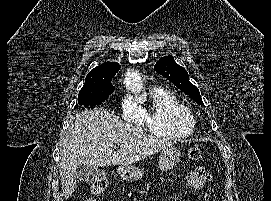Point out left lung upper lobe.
I'll list each match as a JSON object with an SVG mask.
<instances>
[{
	"label": "left lung upper lobe",
	"instance_id": "5c2ea615",
	"mask_svg": "<svg viewBox=\"0 0 271 201\" xmlns=\"http://www.w3.org/2000/svg\"><path fill=\"white\" fill-rule=\"evenodd\" d=\"M154 69L191 97L196 103L203 105L198 88L189 81L187 71L174 61L172 55L161 58L156 63Z\"/></svg>",
	"mask_w": 271,
	"mask_h": 201
}]
</instances>
